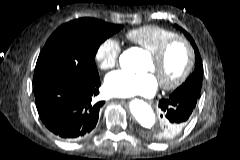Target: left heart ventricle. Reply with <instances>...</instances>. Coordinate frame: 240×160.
<instances>
[{"instance_id": "1", "label": "left heart ventricle", "mask_w": 240, "mask_h": 160, "mask_svg": "<svg viewBox=\"0 0 240 160\" xmlns=\"http://www.w3.org/2000/svg\"><path fill=\"white\" fill-rule=\"evenodd\" d=\"M186 60L187 53L185 48L180 44H176L169 50L162 63L156 64L151 58H148L143 71L152 72L159 84L160 82L169 83L174 81L182 72Z\"/></svg>"}]
</instances>
